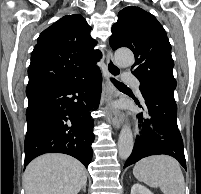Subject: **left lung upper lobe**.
Wrapping results in <instances>:
<instances>
[{
	"label": "left lung upper lobe",
	"instance_id": "obj_1",
	"mask_svg": "<svg viewBox=\"0 0 201 194\" xmlns=\"http://www.w3.org/2000/svg\"><path fill=\"white\" fill-rule=\"evenodd\" d=\"M110 45L113 50L128 47L134 53L132 73L140 81L142 95L152 90L174 94L171 45L164 28L152 14L135 6L122 9L112 27Z\"/></svg>",
	"mask_w": 201,
	"mask_h": 194
}]
</instances>
